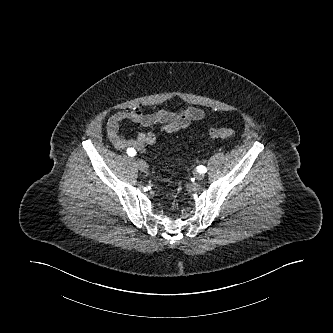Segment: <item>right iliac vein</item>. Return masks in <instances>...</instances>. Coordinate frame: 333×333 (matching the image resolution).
Returning <instances> with one entry per match:
<instances>
[{
    "label": "right iliac vein",
    "mask_w": 333,
    "mask_h": 333,
    "mask_svg": "<svg viewBox=\"0 0 333 333\" xmlns=\"http://www.w3.org/2000/svg\"><path fill=\"white\" fill-rule=\"evenodd\" d=\"M137 166L139 167V169L142 171V172H147L148 171V166L147 164L145 163V161L141 160V159H138L137 161Z\"/></svg>",
    "instance_id": "obj_1"
}]
</instances>
